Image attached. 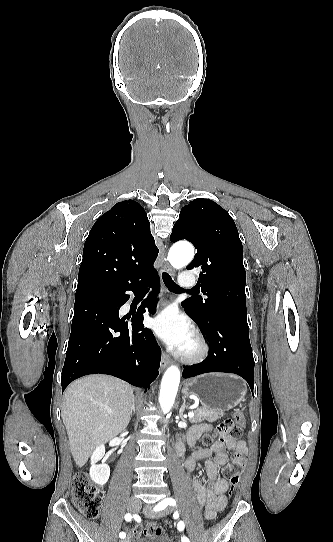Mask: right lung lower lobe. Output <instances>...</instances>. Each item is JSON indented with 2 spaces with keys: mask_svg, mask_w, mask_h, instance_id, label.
Listing matches in <instances>:
<instances>
[{
  "mask_svg": "<svg viewBox=\"0 0 333 542\" xmlns=\"http://www.w3.org/2000/svg\"><path fill=\"white\" fill-rule=\"evenodd\" d=\"M114 255L102 248L83 251L81 266L103 267ZM153 262L141 268V277L124 287L98 286L77 289L74 316L61 376L62 391L75 379L88 374H108L146 388L157 377L161 349L152 331L142 324L143 313L155 314L154 297L160 279ZM153 288L136 314L119 318V309L130 295L143 287Z\"/></svg>",
  "mask_w": 333,
  "mask_h": 542,
  "instance_id": "1",
  "label": "right lung lower lobe"
}]
</instances>
